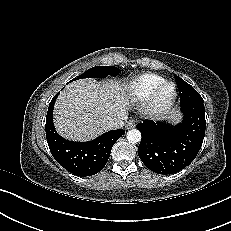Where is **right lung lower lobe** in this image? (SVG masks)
Segmentation results:
<instances>
[{"mask_svg": "<svg viewBox=\"0 0 231 231\" xmlns=\"http://www.w3.org/2000/svg\"><path fill=\"white\" fill-rule=\"evenodd\" d=\"M58 94L59 92L51 100L46 117L45 130L50 151L54 159L74 175L85 177L97 174L106 165L114 143L125 134V131L122 129L108 131L89 142L65 140L56 132L52 120Z\"/></svg>", "mask_w": 231, "mask_h": 231, "instance_id": "1", "label": "right lung lower lobe"}]
</instances>
